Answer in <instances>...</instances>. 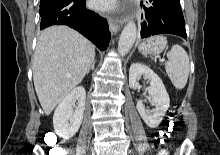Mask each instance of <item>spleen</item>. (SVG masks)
Here are the masks:
<instances>
[{
  "label": "spleen",
  "mask_w": 220,
  "mask_h": 155,
  "mask_svg": "<svg viewBox=\"0 0 220 155\" xmlns=\"http://www.w3.org/2000/svg\"><path fill=\"white\" fill-rule=\"evenodd\" d=\"M168 62L165 64L166 73L173 86L182 90L188 80L190 64L187 52L182 46L175 44L167 53Z\"/></svg>",
  "instance_id": "3e777b00"
}]
</instances>
